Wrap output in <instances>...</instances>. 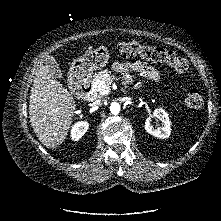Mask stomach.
I'll use <instances>...</instances> for the list:
<instances>
[{"label":"stomach","mask_w":221,"mask_h":221,"mask_svg":"<svg viewBox=\"0 0 221 221\" xmlns=\"http://www.w3.org/2000/svg\"><path fill=\"white\" fill-rule=\"evenodd\" d=\"M108 61L109 51L107 47L100 46L74 60L70 72L74 75L83 77L92 73L94 70L102 69L107 65Z\"/></svg>","instance_id":"1"}]
</instances>
